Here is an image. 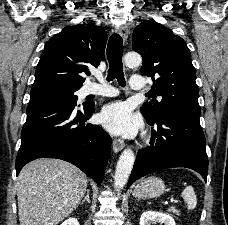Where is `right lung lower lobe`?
I'll use <instances>...</instances> for the list:
<instances>
[{"label":"right lung lower lobe","instance_id":"right-lung-lower-lobe-1","mask_svg":"<svg viewBox=\"0 0 228 225\" xmlns=\"http://www.w3.org/2000/svg\"><path fill=\"white\" fill-rule=\"evenodd\" d=\"M75 106L65 100L28 105L21 147L16 157L17 175L34 159L58 158L76 165L100 185L111 138L101 127L84 124L94 112L92 105L80 110Z\"/></svg>","mask_w":228,"mask_h":225}]
</instances>
